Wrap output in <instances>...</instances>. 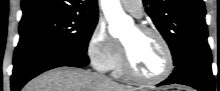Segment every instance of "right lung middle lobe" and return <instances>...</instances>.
<instances>
[{"label":"right lung middle lobe","mask_w":220,"mask_h":91,"mask_svg":"<svg viewBox=\"0 0 220 91\" xmlns=\"http://www.w3.org/2000/svg\"><path fill=\"white\" fill-rule=\"evenodd\" d=\"M97 21L98 16L75 13L43 17L20 24V41H51L72 50L87 52Z\"/></svg>","instance_id":"right-lung-middle-lobe-1"}]
</instances>
